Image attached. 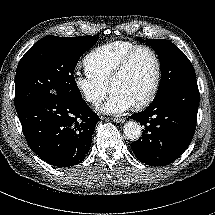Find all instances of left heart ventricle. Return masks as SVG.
Instances as JSON below:
<instances>
[{"label":"left heart ventricle","instance_id":"left-heart-ventricle-1","mask_svg":"<svg viewBox=\"0 0 215 215\" xmlns=\"http://www.w3.org/2000/svg\"><path fill=\"white\" fill-rule=\"evenodd\" d=\"M155 74V62L146 50L138 51L130 60L123 74L110 86L111 92L124 95L132 105L147 95Z\"/></svg>","mask_w":215,"mask_h":215}]
</instances>
